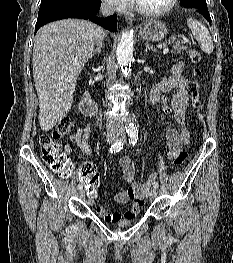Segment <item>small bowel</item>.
<instances>
[{
  "mask_svg": "<svg viewBox=\"0 0 233 263\" xmlns=\"http://www.w3.org/2000/svg\"><path fill=\"white\" fill-rule=\"evenodd\" d=\"M183 66L184 63L182 61L177 62L173 66L171 74L161 77L150 93L151 104L160 105L163 112L179 125V129L170 128L166 132L167 145L169 147L167 160L169 161H172L180 152L184 151L190 139V132L185 126L190 82L182 74ZM89 134V125L78 128L69 136L70 144L64 145V150L67 153H71L74 146H78L83 152L91 153V149L88 146ZM119 166L122 178L129 186L126 190L120 189L114 195V200L118 203L130 202L131 204L129 209L123 214L119 212H110L103 206H95L94 210L96 214L106 222L116 223L123 218L134 217L143 206L144 199L150 189V183H139L136 181L135 164L129 156H122L119 160ZM88 169L90 171H95L91 163H86L79 167L80 171H87ZM87 196L89 197L88 202L93 205L94 200L90 198V195Z\"/></svg>",
  "mask_w": 233,
  "mask_h": 263,
  "instance_id": "c3829d8e",
  "label": "small bowel"
}]
</instances>
